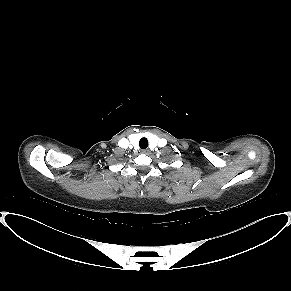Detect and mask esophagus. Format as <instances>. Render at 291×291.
Returning <instances> with one entry per match:
<instances>
[{
  "label": "esophagus",
  "mask_w": 291,
  "mask_h": 291,
  "mask_svg": "<svg viewBox=\"0 0 291 291\" xmlns=\"http://www.w3.org/2000/svg\"><path fill=\"white\" fill-rule=\"evenodd\" d=\"M141 152H142L143 154H149L150 150H149V149H143Z\"/></svg>",
  "instance_id": "1"
}]
</instances>
